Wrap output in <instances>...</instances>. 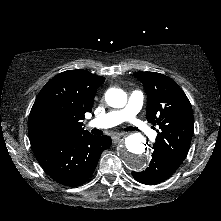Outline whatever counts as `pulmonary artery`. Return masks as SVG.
Returning a JSON list of instances; mask_svg holds the SVG:
<instances>
[{
	"mask_svg": "<svg viewBox=\"0 0 221 221\" xmlns=\"http://www.w3.org/2000/svg\"><path fill=\"white\" fill-rule=\"evenodd\" d=\"M143 104V94L141 91H133L127 105L116 111H111L100 117H97L89 122V126L97 128H110L122 122H128L139 131L147 136L154 137L155 132L141 119L138 118V113Z\"/></svg>",
	"mask_w": 221,
	"mask_h": 221,
	"instance_id": "pulmonary-artery-1",
	"label": "pulmonary artery"
}]
</instances>
